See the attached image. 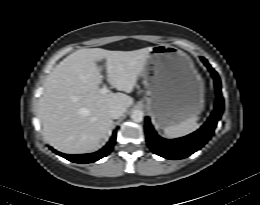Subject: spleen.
Wrapping results in <instances>:
<instances>
[{
    "label": "spleen",
    "mask_w": 260,
    "mask_h": 205,
    "mask_svg": "<svg viewBox=\"0 0 260 205\" xmlns=\"http://www.w3.org/2000/svg\"><path fill=\"white\" fill-rule=\"evenodd\" d=\"M199 120L198 116L187 119L180 124L169 126L164 129V133L169 138H179L186 136L194 132L198 128L197 121Z\"/></svg>",
    "instance_id": "3e777b00"
}]
</instances>
